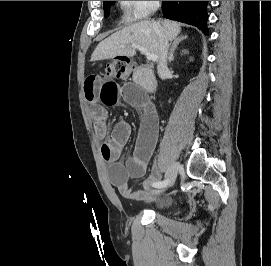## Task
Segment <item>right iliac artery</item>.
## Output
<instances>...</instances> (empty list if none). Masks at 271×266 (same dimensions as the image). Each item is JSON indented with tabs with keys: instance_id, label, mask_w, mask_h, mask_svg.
Wrapping results in <instances>:
<instances>
[{
	"instance_id": "1",
	"label": "right iliac artery",
	"mask_w": 271,
	"mask_h": 266,
	"mask_svg": "<svg viewBox=\"0 0 271 266\" xmlns=\"http://www.w3.org/2000/svg\"><path fill=\"white\" fill-rule=\"evenodd\" d=\"M166 184H167V180L158 181V182L153 183V187L161 188V187H164Z\"/></svg>"
}]
</instances>
